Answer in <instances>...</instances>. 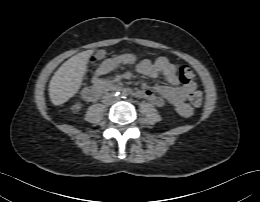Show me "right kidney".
<instances>
[{
    "mask_svg": "<svg viewBox=\"0 0 260 202\" xmlns=\"http://www.w3.org/2000/svg\"><path fill=\"white\" fill-rule=\"evenodd\" d=\"M81 108H82V104L76 103L75 105H73L72 110H73V112H78V111H80Z\"/></svg>",
    "mask_w": 260,
    "mask_h": 202,
    "instance_id": "ca27d5eb",
    "label": "right kidney"
}]
</instances>
